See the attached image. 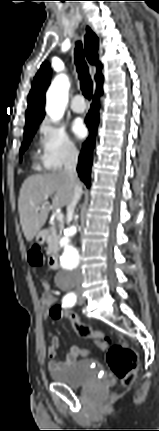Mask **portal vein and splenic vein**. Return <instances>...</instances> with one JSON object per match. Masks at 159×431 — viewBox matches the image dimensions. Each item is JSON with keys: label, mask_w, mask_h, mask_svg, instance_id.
I'll use <instances>...</instances> for the list:
<instances>
[{"label": "portal vein and splenic vein", "mask_w": 159, "mask_h": 431, "mask_svg": "<svg viewBox=\"0 0 159 431\" xmlns=\"http://www.w3.org/2000/svg\"><path fill=\"white\" fill-rule=\"evenodd\" d=\"M47 199L48 198H45V200H44V203L46 204L47 203ZM39 208H37V210H38ZM63 218H64V215L62 214V213H58L57 214V216H56V219L58 220V221H62L63 220Z\"/></svg>", "instance_id": "portal-vein-and-splenic-vein-1"}]
</instances>
